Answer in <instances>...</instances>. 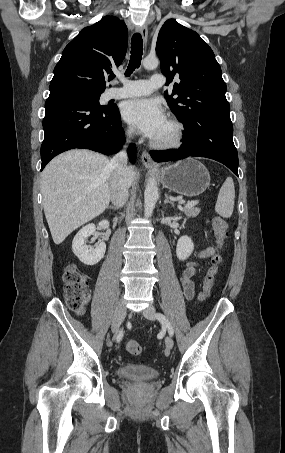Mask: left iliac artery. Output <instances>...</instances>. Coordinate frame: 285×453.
I'll list each match as a JSON object with an SVG mask.
<instances>
[{
    "instance_id": "44dca946",
    "label": "left iliac artery",
    "mask_w": 285,
    "mask_h": 453,
    "mask_svg": "<svg viewBox=\"0 0 285 453\" xmlns=\"http://www.w3.org/2000/svg\"><path fill=\"white\" fill-rule=\"evenodd\" d=\"M155 316L161 322V324L168 329L169 335L173 336L174 330L168 319L161 313H157Z\"/></svg>"
}]
</instances>
